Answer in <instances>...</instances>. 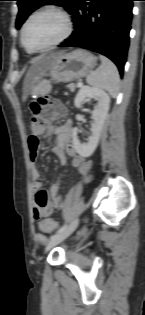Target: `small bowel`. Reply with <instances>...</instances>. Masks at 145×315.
Masks as SVG:
<instances>
[{"instance_id": "small-bowel-1", "label": "small bowel", "mask_w": 145, "mask_h": 315, "mask_svg": "<svg viewBox=\"0 0 145 315\" xmlns=\"http://www.w3.org/2000/svg\"><path fill=\"white\" fill-rule=\"evenodd\" d=\"M56 103V102H54ZM58 104V103H57ZM45 129L38 127L35 133L27 137V147H29V158L32 162L31 178L32 189L37 192L35 195L36 207L33 210V216L36 220L42 221L43 216H51L54 210L61 206L60 195V181L55 182L49 189L50 201L48 194L45 190H41V182L39 181L40 172L35 165L38 157L39 147H41V138L36 135L42 134ZM55 136V143L52 146V151L59 157L63 165L68 164V159L71 160V165L77 168L86 180L90 179L91 162L87 161L80 155L73 144V126L70 121L65 122L63 125L56 127L52 130ZM36 239L40 242H45L46 238L43 234H37Z\"/></svg>"}]
</instances>
